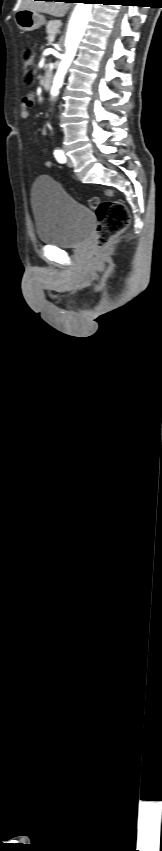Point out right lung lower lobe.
Masks as SVG:
<instances>
[{
  "instance_id": "1",
  "label": "right lung lower lobe",
  "mask_w": 162,
  "mask_h": 851,
  "mask_svg": "<svg viewBox=\"0 0 162 851\" xmlns=\"http://www.w3.org/2000/svg\"><path fill=\"white\" fill-rule=\"evenodd\" d=\"M45 1H56V0H45ZM64 2H75V0H63Z\"/></svg>"
}]
</instances>
